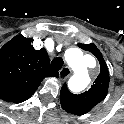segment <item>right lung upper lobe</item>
Wrapping results in <instances>:
<instances>
[{
	"mask_svg": "<svg viewBox=\"0 0 124 124\" xmlns=\"http://www.w3.org/2000/svg\"><path fill=\"white\" fill-rule=\"evenodd\" d=\"M32 39L15 36L0 49V98L20 103L30 98L45 77H59L45 49L35 50Z\"/></svg>",
	"mask_w": 124,
	"mask_h": 124,
	"instance_id": "obj_1",
	"label": "right lung upper lobe"
}]
</instances>
